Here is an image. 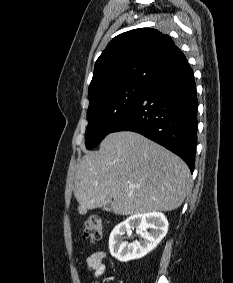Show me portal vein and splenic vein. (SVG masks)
<instances>
[{"label": "portal vein and splenic vein", "mask_w": 233, "mask_h": 283, "mask_svg": "<svg viewBox=\"0 0 233 283\" xmlns=\"http://www.w3.org/2000/svg\"><path fill=\"white\" fill-rule=\"evenodd\" d=\"M129 187L131 188V187H133V185H129Z\"/></svg>", "instance_id": "1"}]
</instances>
